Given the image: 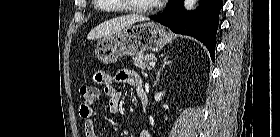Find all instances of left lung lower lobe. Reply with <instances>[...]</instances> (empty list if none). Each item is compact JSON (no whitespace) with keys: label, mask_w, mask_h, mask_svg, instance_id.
<instances>
[{"label":"left lung lower lobe","mask_w":280,"mask_h":137,"mask_svg":"<svg viewBox=\"0 0 280 137\" xmlns=\"http://www.w3.org/2000/svg\"><path fill=\"white\" fill-rule=\"evenodd\" d=\"M183 0H169L165 11L150 18L174 33L192 36L200 40L215 60L216 32L222 0H201L196 11L184 12Z\"/></svg>","instance_id":"left-lung-lower-lobe-1"}]
</instances>
